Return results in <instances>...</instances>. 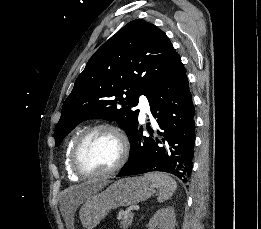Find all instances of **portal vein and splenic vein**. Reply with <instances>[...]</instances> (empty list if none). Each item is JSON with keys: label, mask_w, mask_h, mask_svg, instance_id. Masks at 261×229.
<instances>
[{"label": "portal vein and splenic vein", "mask_w": 261, "mask_h": 229, "mask_svg": "<svg viewBox=\"0 0 261 229\" xmlns=\"http://www.w3.org/2000/svg\"><path fill=\"white\" fill-rule=\"evenodd\" d=\"M144 214H147V211H144ZM144 214H141V217H144ZM128 217H130V215H128ZM125 219H127V217H125Z\"/></svg>", "instance_id": "obj_1"}]
</instances>
